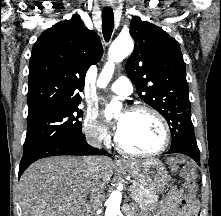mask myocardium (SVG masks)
<instances>
[{
    "mask_svg": "<svg viewBox=\"0 0 221 216\" xmlns=\"http://www.w3.org/2000/svg\"><path fill=\"white\" fill-rule=\"evenodd\" d=\"M129 112L130 113L146 112V113L153 115L162 126L163 134H164L163 141L161 145L159 146V148H157L156 150L149 151V152H138V151H134L125 147L120 142L119 138L116 137L117 148L124 154L132 156V157H153L164 152L169 146L170 141H171V129L165 117L157 109L149 105H136L132 107Z\"/></svg>",
    "mask_w": 221,
    "mask_h": 216,
    "instance_id": "myocardium-1",
    "label": "myocardium"
}]
</instances>
